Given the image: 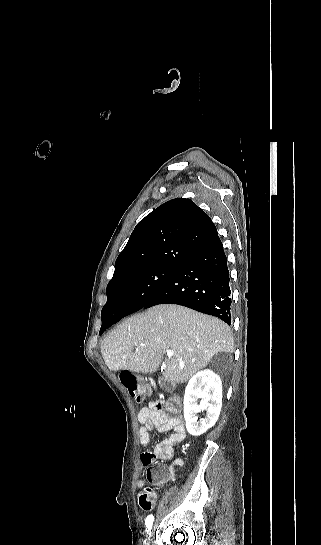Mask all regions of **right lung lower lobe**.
Returning <instances> with one entry per match:
<instances>
[{
  "instance_id": "right-lung-lower-lobe-1",
  "label": "right lung lower lobe",
  "mask_w": 321,
  "mask_h": 545,
  "mask_svg": "<svg viewBox=\"0 0 321 545\" xmlns=\"http://www.w3.org/2000/svg\"><path fill=\"white\" fill-rule=\"evenodd\" d=\"M229 281L227 258L217 234L193 253L143 308L164 303L179 304L216 316L230 325ZM101 315L107 324L100 330V335L125 317L123 308L113 303L105 305Z\"/></svg>"
}]
</instances>
